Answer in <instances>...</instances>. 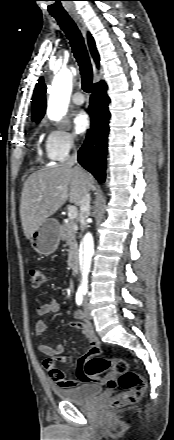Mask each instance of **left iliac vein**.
Returning a JSON list of instances; mask_svg holds the SVG:
<instances>
[{
	"mask_svg": "<svg viewBox=\"0 0 174 440\" xmlns=\"http://www.w3.org/2000/svg\"><path fill=\"white\" fill-rule=\"evenodd\" d=\"M84 315L87 319H92V315L90 313L89 305L87 300L84 301Z\"/></svg>",
	"mask_w": 174,
	"mask_h": 440,
	"instance_id": "1",
	"label": "left iliac vein"
}]
</instances>
